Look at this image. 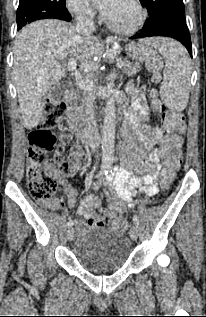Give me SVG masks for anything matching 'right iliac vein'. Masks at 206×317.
Wrapping results in <instances>:
<instances>
[{
  "label": "right iliac vein",
  "instance_id": "1",
  "mask_svg": "<svg viewBox=\"0 0 206 317\" xmlns=\"http://www.w3.org/2000/svg\"><path fill=\"white\" fill-rule=\"evenodd\" d=\"M74 235H75V230L74 228L70 227L68 230H67V239L69 241H72L73 238H74Z\"/></svg>",
  "mask_w": 206,
  "mask_h": 317
}]
</instances>
